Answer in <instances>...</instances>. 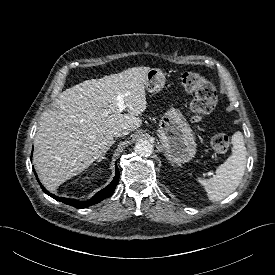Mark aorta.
Here are the masks:
<instances>
[{"label":"aorta","instance_id":"aorta-1","mask_svg":"<svg viewBox=\"0 0 275 275\" xmlns=\"http://www.w3.org/2000/svg\"><path fill=\"white\" fill-rule=\"evenodd\" d=\"M135 152L142 157H148L153 153L154 146L149 140H139L134 147Z\"/></svg>","mask_w":275,"mask_h":275}]
</instances>
